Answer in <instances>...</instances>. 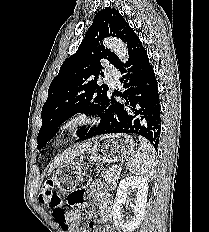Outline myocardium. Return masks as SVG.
Here are the masks:
<instances>
[{
    "mask_svg": "<svg viewBox=\"0 0 209 232\" xmlns=\"http://www.w3.org/2000/svg\"><path fill=\"white\" fill-rule=\"evenodd\" d=\"M91 123V118L85 113H77L65 121L63 127L65 130H79Z\"/></svg>",
    "mask_w": 209,
    "mask_h": 232,
    "instance_id": "1",
    "label": "myocardium"
}]
</instances>
